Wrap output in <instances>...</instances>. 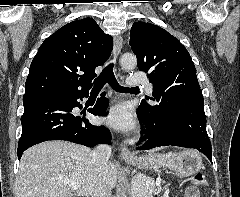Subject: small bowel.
Here are the masks:
<instances>
[{"mask_svg":"<svg viewBox=\"0 0 240 197\" xmlns=\"http://www.w3.org/2000/svg\"><path fill=\"white\" fill-rule=\"evenodd\" d=\"M186 197H199L198 190L195 186H189L186 190Z\"/></svg>","mask_w":240,"mask_h":197,"instance_id":"obj_1","label":"small bowel"}]
</instances>
